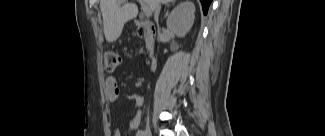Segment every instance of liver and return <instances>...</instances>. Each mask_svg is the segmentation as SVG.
Masks as SVG:
<instances>
[{
	"instance_id": "liver-1",
	"label": "liver",
	"mask_w": 325,
	"mask_h": 136,
	"mask_svg": "<svg viewBox=\"0 0 325 136\" xmlns=\"http://www.w3.org/2000/svg\"><path fill=\"white\" fill-rule=\"evenodd\" d=\"M151 11L157 4L168 3L174 0H142ZM124 3L122 6L121 4ZM100 9L103 17L104 34L106 40L111 43L116 41L122 33L124 24L135 18L138 8L127 0H100Z\"/></svg>"
}]
</instances>
